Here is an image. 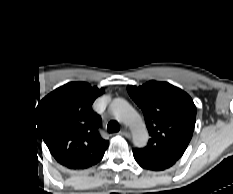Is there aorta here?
<instances>
[{
    "label": "aorta",
    "instance_id": "762f6f07",
    "mask_svg": "<svg viewBox=\"0 0 233 194\" xmlns=\"http://www.w3.org/2000/svg\"><path fill=\"white\" fill-rule=\"evenodd\" d=\"M111 110L115 116L132 130L134 145L138 147L144 146L148 141V131L138 112L124 99L114 100L111 104Z\"/></svg>",
    "mask_w": 233,
    "mask_h": 194
}]
</instances>
